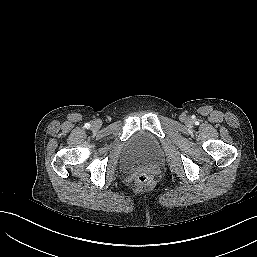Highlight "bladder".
Listing matches in <instances>:
<instances>
[{"label": "bladder", "mask_w": 257, "mask_h": 257, "mask_svg": "<svg viewBox=\"0 0 257 257\" xmlns=\"http://www.w3.org/2000/svg\"><path fill=\"white\" fill-rule=\"evenodd\" d=\"M161 156L159 140L149 131L138 130L127 141L122 159L128 168L152 167Z\"/></svg>", "instance_id": "bladder-1"}]
</instances>
